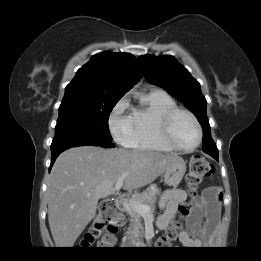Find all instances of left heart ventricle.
<instances>
[{"mask_svg": "<svg viewBox=\"0 0 261 261\" xmlns=\"http://www.w3.org/2000/svg\"><path fill=\"white\" fill-rule=\"evenodd\" d=\"M174 140L183 147H191L198 140L197 128L186 114H179L172 124Z\"/></svg>", "mask_w": 261, "mask_h": 261, "instance_id": "b2bd125f", "label": "left heart ventricle"}]
</instances>
